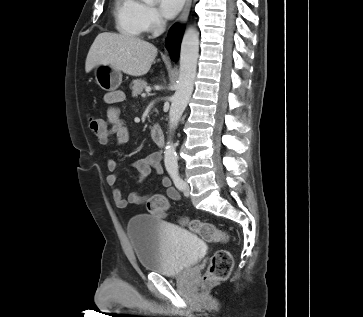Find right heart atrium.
I'll return each mask as SVG.
<instances>
[{
    "label": "right heart atrium",
    "instance_id": "d8ad5b80",
    "mask_svg": "<svg viewBox=\"0 0 363 317\" xmlns=\"http://www.w3.org/2000/svg\"><path fill=\"white\" fill-rule=\"evenodd\" d=\"M143 23L145 31L151 34L160 32L165 25L157 9L152 6H144Z\"/></svg>",
    "mask_w": 363,
    "mask_h": 317
}]
</instances>
